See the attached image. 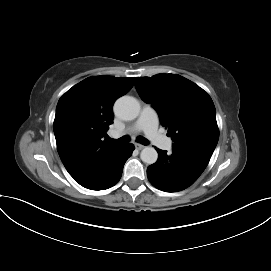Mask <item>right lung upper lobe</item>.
Instances as JSON below:
<instances>
[{"label":"right lung upper lobe","instance_id":"right-lung-upper-lobe-1","mask_svg":"<svg viewBox=\"0 0 271 271\" xmlns=\"http://www.w3.org/2000/svg\"><path fill=\"white\" fill-rule=\"evenodd\" d=\"M133 83V77H89L59 99L53 124L57 150L75 181L90 175L120 146L104 138L114 118L115 100Z\"/></svg>","mask_w":271,"mask_h":271}]
</instances>
